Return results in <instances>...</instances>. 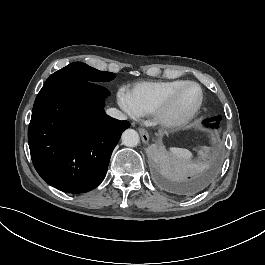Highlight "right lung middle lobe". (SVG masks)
I'll list each match as a JSON object with an SVG mask.
<instances>
[{
  "instance_id": "right-lung-middle-lobe-1",
  "label": "right lung middle lobe",
  "mask_w": 265,
  "mask_h": 265,
  "mask_svg": "<svg viewBox=\"0 0 265 265\" xmlns=\"http://www.w3.org/2000/svg\"><path fill=\"white\" fill-rule=\"evenodd\" d=\"M114 77V73L99 71L82 62H74L53 73L46 80L44 87L78 82H106Z\"/></svg>"
}]
</instances>
